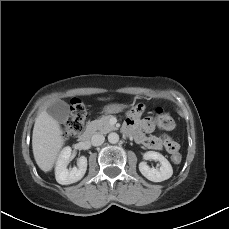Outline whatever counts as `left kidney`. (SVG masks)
Wrapping results in <instances>:
<instances>
[{"label":"left kidney","instance_id":"left-kidney-1","mask_svg":"<svg viewBox=\"0 0 229 229\" xmlns=\"http://www.w3.org/2000/svg\"><path fill=\"white\" fill-rule=\"evenodd\" d=\"M145 160H155L160 162L159 168H150L146 162L139 164L141 174L148 180L153 182H161L169 179L173 174V169L170 162L160 153L155 151H148L144 154Z\"/></svg>","mask_w":229,"mask_h":229}]
</instances>
